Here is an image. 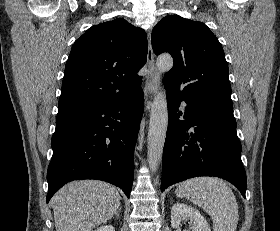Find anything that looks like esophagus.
I'll return each mask as SVG.
<instances>
[{
  "mask_svg": "<svg viewBox=\"0 0 280 231\" xmlns=\"http://www.w3.org/2000/svg\"><path fill=\"white\" fill-rule=\"evenodd\" d=\"M147 67L150 70V80L144 87V94L146 96V109H150L148 98L154 96L160 86V73L155 66L154 53L151 45V32L148 31V54H147Z\"/></svg>",
  "mask_w": 280,
  "mask_h": 231,
  "instance_id": "34e87169",
  "label": "esophagus"
}]
</instances>
